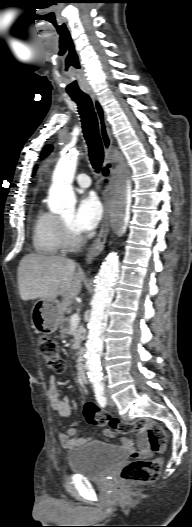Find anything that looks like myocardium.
Segmentation results:
<instances>
[{
    "label": "myocardium",
    "mask_w": 192,
    "mask_h": 527,
    "mask_svg": "<svg viewBox=\"0 0 192 527\" xmlns=\"http://www.w3.org/2000/svg\"><path fill=\"white\" fill-rule=\"evenodd\" d=\"M60 230L64 247L73 249L82 243V237L74 232L62 218H60Z\"/></svg>",
    "instance_id": "f54148a6"
}]
</instances>
